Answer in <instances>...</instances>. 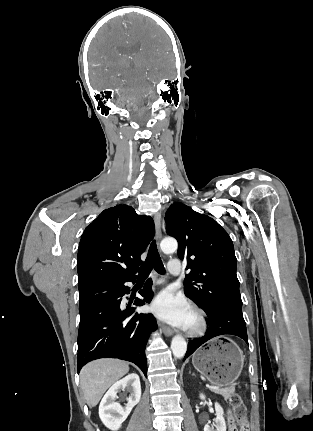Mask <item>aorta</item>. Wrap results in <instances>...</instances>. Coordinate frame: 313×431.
I'll use <instances>...</instances> for the list:
<instances>
[{
  "instance_id": "762f6f07",
  "label": "aorta",
  "mask_w": 313,
  "mask_h": 431,
  "mask_svg": "<svg viewBox=\"0 0 313 431\" xmlns=\"http://www.w3.org/2000/svg\"><path fill=\"white\" fill-rule=\"evenodd\" d=\"M160 247L165 254H170L177 250L178 244L174 238H165L161 241ZM171 349L176 358H182L187 351L185 339L180 335L174 336L171 342Z\"/></svg>"
}]
</instances>
